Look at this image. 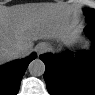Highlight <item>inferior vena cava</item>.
I'll list each match as a JSON object with an SVG mask.
<instances>
[{
    "label": "inferior vena cava",
    "instance_id": "602c4592",
    "mask_svg": "<svg viewBox=\"0 0 95 95\" xmlns=\"http://www.w3.org/2000/svg\"><path fill=\"white\" fill-rule=\"evenodd\" d=\"M12 54H13L14 57H16V58L21 57V56L24 54L23 48H22L20 45L16 46V47L14 48Z\"/></svg>",
    "mask_w": 95,
    "mask_h": 95
}]
</instances>
